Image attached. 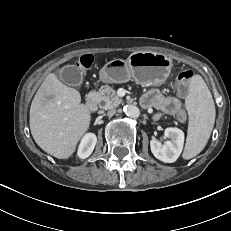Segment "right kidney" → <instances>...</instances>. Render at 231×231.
<instances>
[{
    "instance_id": "1",
    "label": "right kidney",
    "mask_w": 231,
    "mask_h": 231,
    "mask_svg": "<svg viewBox=\"0 0 231 231\" xmlns=\"http://www.w3.org/2000/svg\"><path fill=\"white\" fill-rule=\"evenodd\" d=\"M97 142V137L93 133L86 134L78 148V156L85 159L91 155Z\"/></svg>"
}]
</instances>
